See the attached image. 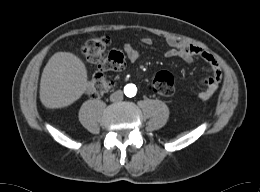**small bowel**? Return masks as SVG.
Returning a JSON list of instances; mask_svg holds the SVG:
<instances>
[{"label": "small bowel", "mask_w": 260, "mask_h": 192, "mask_svg": "<svg viewBox=\"0 0 260 192\" xmlns=\"http://www.w3.org/2000/svg\"><path fill=\"white\" fill-rule=\"evenodd\" d=\"M141 42L146 46L154 44V40L150 37L142 38ZM166 45L167 49L164 52L166 58L178 57L187 63H192L195 59L200 58L210 66L211 74L199 81L203 88L198 93L200 99L206 100L210 98L217 90L222 79V70L215 57L197 45L177 41L172 38L166 40ZM123 51L130 62L133 63L139 59V51L132 44H124Z\"/></svg>", "instance_id": "c3829d8e"}]
</instances>
